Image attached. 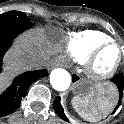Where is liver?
Instances as JSON below:
<instances>
[{
    "mask_svg": "<svg viewBox=\"0 0 124 124\" xmlns=\"http://www.w3.org/2000/svg\"><path fill=\"white\" fill-rule=\"evenodd\" d=\"M52 30H33L22 35L15 43L8 57V64L12 70L25 69L31 65L29 58L38 56L43 61L55 52L52 42ZM5 78L0 77V88Z\"/></svg>",
    "mask_w": 124,
    "mask_h": 124,
    "instance_id": "1",
    "label": "liver"
}]
</instances>
